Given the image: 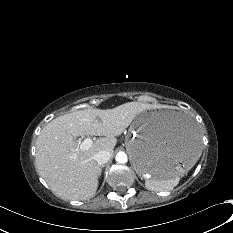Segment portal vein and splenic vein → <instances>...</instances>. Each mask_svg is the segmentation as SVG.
Segmentation results:
<instances>
[{"instance_id":"portal-vein-and-splenic-vein-1","label":"portal vein and splenic vein","mask_w":233,"mask_h":233,"mask_svg":"<svg viewBox=\"0 0 233 233\" xmlns=\"http://www.w3.org/2000/svg\"><path fill=\"white\" fill-rule=\"evenodd\" d=\"M93 144V140L91 138H86L82 143L79 145V150L86 151L88 150Z\"/></svg>"}]
</instances>
